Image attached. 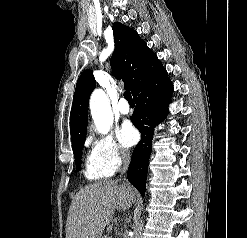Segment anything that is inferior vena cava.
I'll return each mask as SVG.
<instances>
[{
  "label": "inferior vena cava",
  "instance_id": "1",
  "mask_svg": "<svg viewBox=\"0 0 247 238\" xmlns=\"http://www.w3.org/2000/svg\"><path fill=\"white\" fill-rule=\"evenodd\" d=\"M122 161H123V167L121 170V174L125 173L128 169L129 162H130V153L126 150L121 151Z\"/></svg>",
  "mask_w": 247,
  "mask_h": 238
}]
</instances>
